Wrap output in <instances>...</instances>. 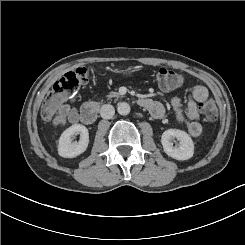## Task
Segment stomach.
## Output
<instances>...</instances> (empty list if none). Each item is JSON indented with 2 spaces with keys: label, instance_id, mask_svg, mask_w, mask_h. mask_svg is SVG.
Masks as SVG:
<instances>
[{
  "label": "stomach",
  "instance_id": "stomach-1",
  "mask_svg": "<svg viewBox=\"0 0 245 245\" xmlns=\"http://www.w3.org/2000/svg\"><path fill=\"white\" fill-rule=\"evenodd\" d=\"M137 71V67L136 66H130V67H126V68H120L119 72L126 77H132L135 75V72Z\"/></svg>",
  "mask_w": 245,
  "mask_h": 245
}]
</instances>
